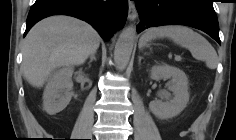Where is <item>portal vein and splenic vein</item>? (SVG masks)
Instances as JSON below:
<instances>
[{
	"label": "portal vein and splenic vein",
	"mask_w": 236,
	"mask_h": 140,
	"mask_svg": "<svg viewBox=\"0 0 236 140\" xmlns=\"http://www.w3.org/2000/svg\"><path fill=\"white\" fill-rule=\"evenodd\" d=\"M175 60H176V61H180V60H181V57H180L179 55H176V56H175Z\"/></svg>",
	"instance_id": "1"
}]
</instances>
